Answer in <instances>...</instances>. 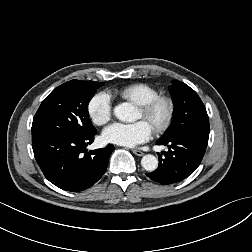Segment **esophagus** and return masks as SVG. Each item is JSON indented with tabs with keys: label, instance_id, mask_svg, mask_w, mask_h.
<instances>
[{
	"label": "esophagus",
	"instance_id": "34e87169",
	"mask_svg": "<svg viewBox=\"0 0 252 252\" xmlns=\"http://www.w3.org/2000/svg\"><path fill=\"white\" fill-rule=\"evenodd\" d=\"M132 152H133L135 155H137V156H143V155H144V153H143L142 151L137 150V149H132Z\"/></svg>",
	"mask_w": 252,
	"mask_h": 252
}]
</instances>
